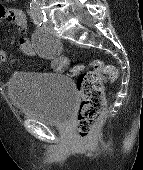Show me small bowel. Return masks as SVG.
Returning a JSON list of instances; mask_svg holds the SVG:
<instances>
[{"label": "small bowel", "mask_w": 143, "mask_h": 170, "mask_svg": "<svg viewBox=\"0 0 143 170\" xmlns=\"http://www.w3.org/2000/svg\"><path fill=\"white\" fill-rule=\"evenodd\" d=\"M15 25L21 32L19 40L20 50L27 56H35L37 50L33 43L25 36L27 26V17L25 12L20 8H9L0 3V28L2 26ZM55 48L59 47L58 42L52 43ZM62 56H54L51 60V66L54 70H60L61 63L59 61ZM6 62L5 52L0 48V65Z\"/></svg>", "instance_id": "obj_1"}]
</instances>
